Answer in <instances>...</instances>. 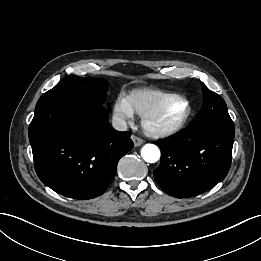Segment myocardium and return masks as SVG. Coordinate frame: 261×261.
Listing matches in <instances>:
<instances>
[{"mask_svg":"<svg viewBox=\"0 0 261 261\" xmlns=\"http://www.w3.org/2000/svg\"><path fill=\"white\" fill-rule=\"evenodd\" d=\"M173 101L183 102L186 106L184 114L174 123L169 125H160L157 123L158 118L165 108ZM192 113V107L189 100L181 95L171 94L161 101L154 108L146 112L141 117V125L144 132L155 138L167 137L180 131L187 123Z\"/></svg>","mask_w":261,"mask_h":261,"instance_id":"f54148a6","label":"myocardium"}]
</instances>
